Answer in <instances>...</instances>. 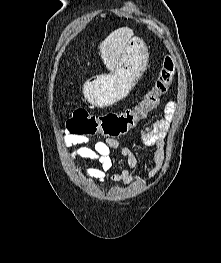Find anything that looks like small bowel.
Masks as SVG:
<instances>
[{
  "label": "small bowel",
  "instance_id": "c3829d8e",
  "mask_svg": "<svg viewBox=\"0 0 221 263\" xmlns=\"http://www.w3.org/2000/svg\"><path fill=\"white\" fill-rule=\"evenodd\" d=\"M176 110L175 102H169L165 107V117L150 124L142 125L137 130L142 145L146 147H156L154 154L155 166L150 170L148 179L157 175L164 162V139L170 127ZM62 146L75 149L69 154V161L77 158L96 160L100 167H90L84 171V176L95 179L98 184H103L106 180V173L112 168V150H119L127 160V168L118 174L111 176L114 182L132 184L136 181L131 170L137 165V158L132 150L113 138H106L103 141L92 143L90 139L62 130Z\"/></svg>",
  "mask_w": 221,
  "mask_h": 263
}]
</instances>
